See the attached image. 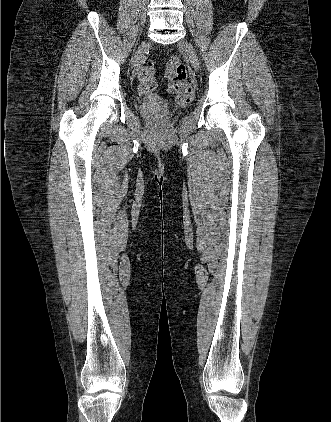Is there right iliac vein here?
I'll list each match as a JSON object with an SVG mask.
<instances>
[{
    "mask_svg": "<svg viewBox=\"0 0 331 422\" xmlns=\"http://www.w3.org/2000/svg\"><path fill=\"white\" fill-rule=\"evenodd\" d=\"M147 43L143 42L138 50L136 51L133 60H132V67H137L139 65L140 60L142 59L143 55H144V51L146 49Z\"/></svg>",
    "mask_w": 331,
    "mask_h": 422,
    "instance_id": "obj_1",
    "label": "right iliac vein"
}]
</instances>
